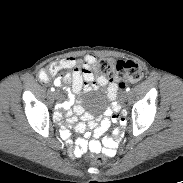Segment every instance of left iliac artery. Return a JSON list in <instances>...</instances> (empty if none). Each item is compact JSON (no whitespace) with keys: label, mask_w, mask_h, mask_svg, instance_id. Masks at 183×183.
Returning a JSON list of instances; mask_svg holds the SVG:
<instances>
[{"label":"left iliac artery","mask_w":183,"mask_h":183,"mask_svg":"<svg viewBox=\"0 0 183 183\" xmlns=\"http://www.w3.org/2000/svg\"><path fill=\"white\" fill-rule=\"evenodd\" d=\"M126 91H127V92H129V91H130V88H129V87H127V88H126Z\"/></svg>","instance_id":"1"}]
</instances>
